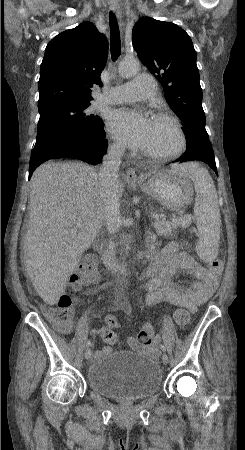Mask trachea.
Here are the masks:
<instances>
[{"instance_id": "3493384b", "label": "trachea", "mask_w": 245, "mask_h": 450, "mask_svg": "<svg viewBox=\"0 0 245 450\" xmlns=\"http://www.w3.org/2000/svg\"><path fill=\"white\" fill-rule=\"evenodd\" d=\"M109 21L111 32V42H110L111 57L113 61H116L121 51V40L118 23L112 12H110L109 14Z\"/></svg>"}]
</instances>
